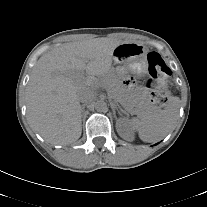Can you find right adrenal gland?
<instances>
[{
	"label": "right adrenal gland",
	"instance_id": "1",
	"mask_svg": "<svg viewBox=\"0 0 207 207\" xmlns=\"http://www.w3.org/2000/svg\"><path fill=\"white\" fill-rule=\"evenodd\" d=\"M85 104H83L82 106H81V113L83 114L84 113V109H85Z\"/></svg>",
	"mask_w": 207,
	"mask_h": 207
}]
</instances>
